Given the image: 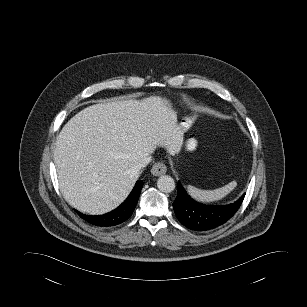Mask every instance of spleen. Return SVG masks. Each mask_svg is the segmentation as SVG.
<instances>
[{"label": "spleen", "instance_id": "spleen-1", "mask_svg": "<svg viewBox=\"0 0 307 307\" xmlns=\"http://www.w3.org/2000/svg\"><path fill=\"white\" fill-rule=\"evenodd\" d=\"M236 187V182H230L224 187L215 190H201L193 186H188V192L192 197L200 201H215L226 196L230 191Z\"/></svg>", "mask_w": 307, "mask_h": 307}]
</instances>
